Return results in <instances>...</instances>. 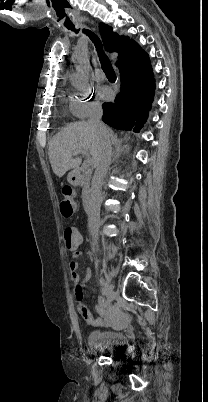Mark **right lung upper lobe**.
I'll return each mask as SVG.
<instances>
[{"mask_svg": "<svg viewBox=\"0 0 208 402\" xmlns=\"http://www.w3.org/2000/svg\"><path fill=\"white\" fill-rule=\"evenodd\" d=\"M100 32L103 38L104 46L109 52L115 51L120 54L130 41L128 37L117 35L112 31L111 27L103 23L100 24Z\"/></svg>", "mask_w": 208, "mask_h": 402, "instance_id": "obj_1", "label": "right lung upper lobe"}]
</instances>
